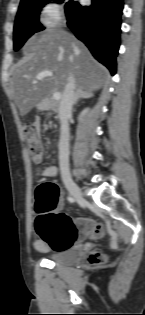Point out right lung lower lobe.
Returning a JSON list of instances; mask_svg holds the SVG:
<instances>
[{
  "label": "right lung lower lobe",
  "mask_w": 145,
  "mask_h": 315,
  "mask_svg": "<svg viewBox=\"0 0 145 315\" xmlns=\"http://www.w3.org/2000/svg\"><path fill=\"white\" fill-rule=\"evenodd\" d=\"M122 9L123 0H92L90 6L71 1L65 10L68 27L113 75L120 46Z\"/></svg>",
  "instance_id": "right-lung-lower-lobe-1"
}]
</instances>
